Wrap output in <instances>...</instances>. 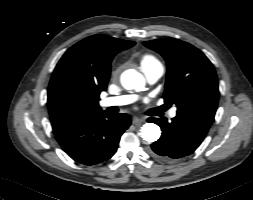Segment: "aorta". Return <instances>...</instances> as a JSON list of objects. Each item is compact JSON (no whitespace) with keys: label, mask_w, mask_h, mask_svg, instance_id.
<instances>
[{"label":"aorta","mask_w":253,"mask_h":200,"mask_svg":"<svg viewBox=\"0 0 253 200\" xmlns=\"http://www.w3.org/2000/svg\"><path fill=\"white\" fill-rule=\"evenodd\" d=\"M122 85L126 89H143L145 80L141 74L134 70L125 72L121 79ZM140 135L143 140L151 143L160 138L161 130L158 125L154 123H146L141 127Z\"/></svg>","instance_id":"1"}]
</instances>
